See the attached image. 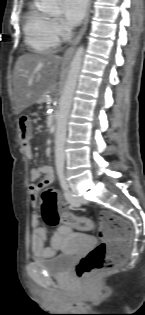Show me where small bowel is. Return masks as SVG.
Returning <instances> with one entry per match:
<instances>
[{"mask_svg": "<svg viewBox=\"0 0 145 315\" xmlns=\"http://www.w3.org/2000/svg\"><path fill=\"white\" fill-rule=\"evenodd\" d=\"M23 150L25 155L33 158V151L29 144H24ZM31 184L29 185V196L33 205L37 204L38 194L50 185L54 180L53 169L49 165L37 166L30 171ZM31 225L33 228L30 236L31 251L38 257H53L62 247L63 240L72 231V227L61 222L54 235L51 238V245L46 246L47 230L40 226L39 215L34 212L31 216Z\"/></svg>", "mask_w": 145, "mask_h": 315, "instance_id": "obj_1", "label": "small bowel"}]
</instances>
